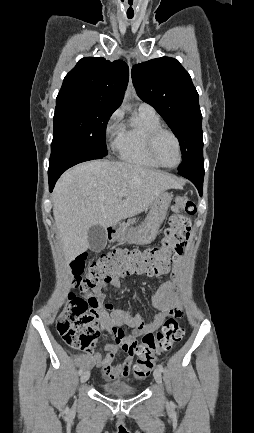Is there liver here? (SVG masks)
Returning <instances> with one entry per match:
<instances>
[{
	"instance_id": "6515ba94",
	"label": "liver",
	"mask_w": 254,
	"mask_h": 433,
	"mask_svg": "<svg viewBox=\"0 0 254 433\" xmlns=\"http://www.w3.org/2000/svg\"><path fill=\"white\" fill-rule=\"evenodd\" d=\"M177 179L125 162L94 160L79 164L57 182L53 214L68 261L89 248L88 230L104 228L147 210ZM124 192L121 200L119 193Z\"/></svg>"
}]
</instances>
